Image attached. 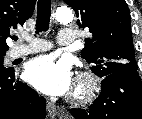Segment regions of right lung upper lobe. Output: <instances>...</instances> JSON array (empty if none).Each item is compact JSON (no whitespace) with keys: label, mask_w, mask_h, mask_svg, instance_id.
<instances>
[{"label":"right lung upper lobe","mask_w":142,"mask_h":119,"mask_svg":"<svg viewBox=\"0 0 142 119\" xmlns=\"http://www.w3.org/2000/svg\"><path fill=\"white\" fill-rule=\"evenodd\" d=\"M36 0H0V53H6L10 30L23 26L35 8Z\"/></svg>","instance_id":"cb5924a9"}]
</instances>
